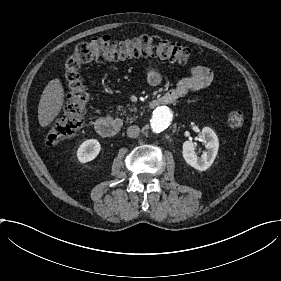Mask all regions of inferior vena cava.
<instances>
[{
    "label": "inferior vena cava",
    "instance_id": "inferior-vena-cava-1",
    "mask_svg": "<svg viewBox=\"0 0 281 281\" xmlns=\"http://www.w3.org/2000/svg\"><path fill=\"white\" fill-rule=\"evenodd\" d=\"M140 128L136 125L130 126L127 129V136L130 138H136L139 136Z\"/></svg>",
    "mask_w": 281,
    "mask_h": 281
}]
</instances>
